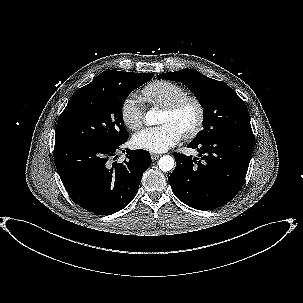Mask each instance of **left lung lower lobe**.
<instances>
[{
	"label": "left lung lower lobe",
	"instance_id": "left-lung-lower-lobe-1",
	"mask_svg": "<svg viewBox=\"0 0 303 303\" xmlns=\"http://www.w3.org/2000/svg\"><path fill=\"white\" fill-rule=\"evenodd\" d=\"M199 157L174 153L176 167L168 181L186 205L211 210L225 205L240 191L254 148L253 135H226L191 142Z\"/></svg>",
	"mask_w": 303,
	"mask_h": 303
}]
</instances>
